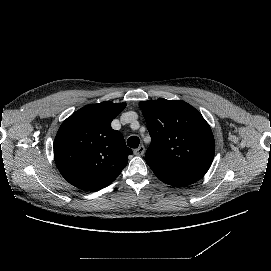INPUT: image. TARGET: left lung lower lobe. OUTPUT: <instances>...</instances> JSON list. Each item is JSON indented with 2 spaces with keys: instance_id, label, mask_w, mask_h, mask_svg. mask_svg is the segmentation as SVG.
<instances>
[{
  "instance_id": "1",
  "label": "left lung lower lobe",
  "mask_w": 271,
  "mask_h": 271,
  "mask_svg": "<svg viewBox=\"0 0 271 271\" xmlns=\"http://www.w3.org/2000/svg\"><path fill=\"white\" fill-rule=\"evenodd\" d=\"M155 175L164 183L175 187H184L200 180L205 173L179 169L146 160Z\"/></svg>"
}]
</instances>
